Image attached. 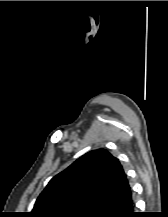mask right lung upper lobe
I'll return each instance as SVG.
<instances>
[{
    "instance_id": "1",
    "label": "right lung upper lobe",
    "mask_w": 168,
    "mask_h": 217,
    "mask_svg": "<svg viewBox=\"0 0 168 217\" xmlns=\"http://www.w3.org/2000/svg\"><path fill=\"white\" fill-rule=\"evenodd\" d=\"M132 197L126 174L106 150H93L53 177L30 217H102Z\"/></svg>"
}]
</instances>
